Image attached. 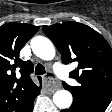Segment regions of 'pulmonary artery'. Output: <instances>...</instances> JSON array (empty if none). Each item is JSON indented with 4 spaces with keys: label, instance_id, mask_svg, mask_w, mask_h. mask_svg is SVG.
I'll return each instance as SVG.
<instances>
[{
    "label": "pulmonary artery",
    "instance_id": "pulmonary-artery-1",
    "mask_svg": "<svg viewBox=\"0 0 112 112\" xmlns=\"http://www.w3.org/2000/svg\"><path fill=\"white\" fill-rule=\"evenodd\" d=\"M54 71L56 72V74L58 75L59 78H61V79L65 78V73L61 70L59 65H56L54 67Z\"/></svg>",
    "mask_w": 112,
    "mask_h": 112
}]
</instances>
